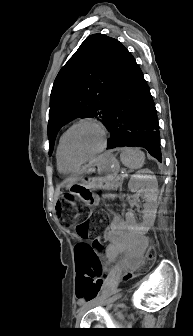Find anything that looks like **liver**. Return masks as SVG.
<instances>
[{
	"label": "liver",
	"mask_w": 193,
	"mask_h": 336,
	"mask_svg": "<svg viewBox=\"0 0 193 336\" xmlns=\"http://www.w3.org/2000/svg\"><path fill=\"white\" fill-rule=\"evenodd\" d=\"M95 160L90 161L89 164L85 165L84 167H82V169H80L79 171H77L76 174H74L73 176H71L70 178H68L67 179L66 188L69 189L74 183H76L79 180L80 175L84 174L87 171V169L89 168V166L93 162H95Z\"/></svg>",
	"instance_id": "obj_1"
}]
</instances>
